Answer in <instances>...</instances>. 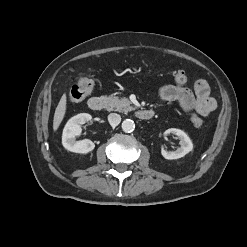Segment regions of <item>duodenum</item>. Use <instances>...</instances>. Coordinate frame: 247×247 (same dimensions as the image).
<instances>
[{
    "instance_id": "1",
    "label": "duodenum",
    "mask_w": 247,
    "mask_h": 247,
    "mask_svg": "<svg viewBox=\"0 0 247 247\" xmlns=\"http://www.w3.org/2000/svg\"><path fill=\"white\" fill-rule=\"evenodd\" d=\"M107 101L104 97H92L88 106L93 111H103L106 108ZM155 112L152 109H140L136 112V115L141 120H150L153 118Z\"/></svg>"
}]
</instances>
